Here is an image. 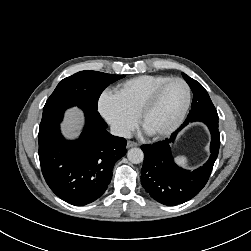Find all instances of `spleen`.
<instances>
[{
	"label": "spleen",
	"instance_id": "1",
	"mask_svg": "<svg viewBox=\"0 0 251 251\" xmlns=\"http://www.w3.org/2000/svg\"><path fill=\"white\" fill-rule=\"evenodd\" d=\"M175 160L178 165L183 167L187 166L188 164V160L185 156H177Z\"/></svg>",
	"mask_w": 251,
	"mask_h": 251
}]
</instances>
